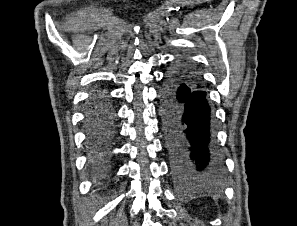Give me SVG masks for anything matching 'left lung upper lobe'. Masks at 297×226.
I'll return each instance as SVG.
<instances>
[{
    "label": "left lung upper lobe",
    "mask_w": 297,
    "mask_h": 226,
    "mask_svg": "<svg viewBox=\"0 0 297 226\" xmlns=\"http://www.w3.org/2000/svg\"><path fill=\"white\" fill-rule=\"evenodd\" d=\"M181 73L187 76L195 85L200 86V82L196 73L188 67H181Z\"/></svg>",
    "instance_id": "5c2ea615"
}]
</instances>
